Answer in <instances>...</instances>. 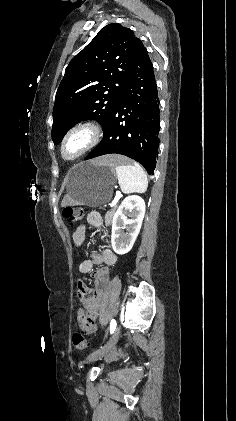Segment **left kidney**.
Returning a JSON list of instances; mask_svg holds the SVG:
<instances>
[{
    "label": "left kidney",
    "mask_w": 236,
    "mask_h": 421,
    "mask_svg": "<svg viewBox=\"0 0 236 421\" xmlns=\"http://www.w3.org/2000/svg\"><path fill=\"white\" fill-rule=\"evenodd\" d=\"M144 215L145 202L141 196L131 194L122 200L112 219L111 245L117 255H126L131 251L140 233ZM122 229L127 233H123Z\"/></svg>",
    "instance_id": "left-kidney-1"
}]
</instances>
